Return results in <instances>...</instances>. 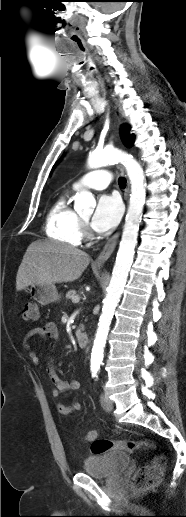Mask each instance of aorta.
<instances>
[{
    "label": "aorta",
    "instance_id": "obj_1",
    "mask_svg": "<svg viewBox=\"0 0 186 517\" xmlns=\"http://www.w3.org/2000/svg\"><path fill=\"white\" fill-rule=\"evenodd\" d=\"M121 162L127 171V175L131 184V194L129 207L125 219L122 238L113 268L110 284L107 294L103 300L102 313L99 319L97 332L91 353V370L99 369L104 356V347L106 344L109 327L114 315L117 303L120 300L124 286L130 271L137 237L139 231V223L141 220L143 206L146 197L145 175L141 165L129 154L116 148H107L103 150H95L88 157L89 168H99L110 163ZM95 204L93 195L83 190L75 196V209L88 210Z\"/></svg>",
    "mask_w": 186,
    "mask_h": 517
}]
</instances>
